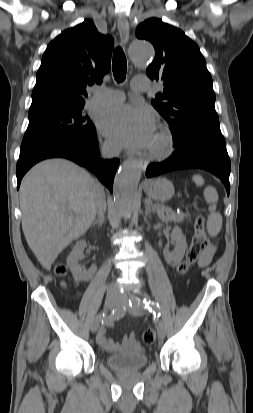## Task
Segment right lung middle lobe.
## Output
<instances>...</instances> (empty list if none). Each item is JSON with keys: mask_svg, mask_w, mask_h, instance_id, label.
<instances>
[{"mask_svg": "<svg viewBox=\"0 0 253 413\" xmlns=\"http://www.w3.org/2000/svg\"><path fill=\"white\" fill-rule=\"evenodd\" d=\"M83 107L84 104L29 112V125L21 149L51 140L91 135L95 126L88 116L82 115Z\"/></svg>", "mask_w": 253, "mask_h": 413, "instance_id": "1", "label": "right lung middle lobe"}]
</instances>
